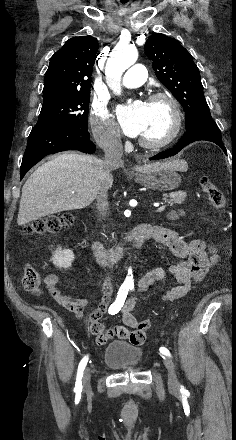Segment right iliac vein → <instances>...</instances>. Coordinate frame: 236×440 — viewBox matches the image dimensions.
I'll return each mask as SVG.
<instances>
[{"label":"right iliac vein","mask_w":236,"mask_h":440,"mask_svg":"<svg viewBox=\"0 0 236 440\" xmlns=\"http://www.w3.org/2000/svg\"><path fill=\"white\" fill-rule=\"evenodd\" d=\"M90 377H91V371L90 368H86L83 375V388L88 389L90 387Z\"/></svg>","instance_id":"1"}]
</instances>
